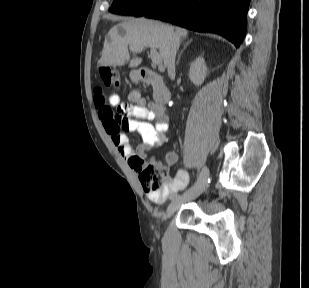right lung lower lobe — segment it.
Returning <instances> with one entry per match:
<instances>
[{
  "label": "right lung lower lobe",
  "mask_w": 309,
  "mask_h": 288,
  "mask_svg": "<svg viewBox=\"0 0 309 288\" xmlns=\"http://www.w3.org/2000/svg\"><path fill=\"white\" fill-rule=\"evenodd\" d=\"M250 0H165L143 16L198 32L222 35L236 47L242 43Z\"/></svg>",
  "instance_id": "1"
}]
</instances>
